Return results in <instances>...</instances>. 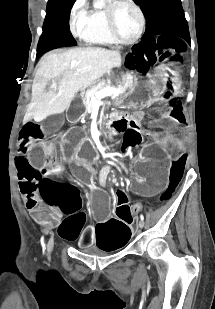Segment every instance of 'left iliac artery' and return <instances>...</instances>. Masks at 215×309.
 Segmentation results:
<instances>
[{
    "mask_svg": "<svg viewBox=\"0 0 215 309\" xmlns=\"http://www.w3.org/2000/svg\"><path fill=\"white\" fill-rule=\"evenodd\" d=\"M140 217H141V220H144V217H143V215H141Z\"/></svg>",
    "mask_w": 215,
    "mask_h": 309,
    "instance_id": "left-iliac-artery-1",
    "label": "left iliac artery"
}]
</instances>
